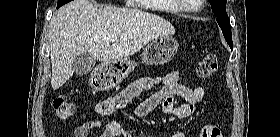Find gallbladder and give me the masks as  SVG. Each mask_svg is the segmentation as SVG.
I'll return each mask as SVG.
<instances>
[{
	"mask_svg": "<svg viewBox=\"0 0 280 137\" xmlns=\"http://www.w3.org/2000/svg\"><path fill=\"white\" fill-rule=\"evenodd\" d=\"M95 63V58L88 53L80 54L73 60V71L78 76L87 75L93 70Z\"/></svg>",
	"mask_w": 280,
	"mask_h": 137,
	"instance_id": "gallbladder-1",
	"label": "gallbladder"
}]
</instances>
